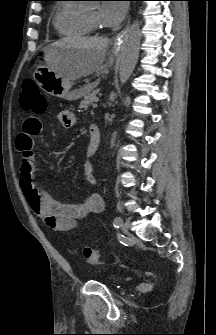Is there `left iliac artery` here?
<instances>
[{
	"instance_id": "left-iliac-artery-1",
	"label": "left iliac artery",
	"mask_w": 216,
	"mask_h": 335,
	"mask_svg": "<svg viewBox=\"0 0 216 335\" xmlns=\"http://www.w3.org/2000/svg\"><path fill=\"white\" fill-rule=\"evenodd\" d=\"M121 224H122V219H121V217H116V218L114 219V221H113V226H114L115 228H119V227L121 226Z\"/></svg>"
}]
</instances>
